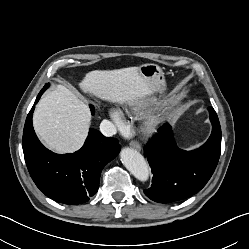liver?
I'll return each instance as SVG.
<instances>
[{
    "label": "liver",
    "instance_id": "6515ba94",
    "mask_svg": "<svg viewBox=\"0 0 249 249\" xmlns=\"http://www.w3.org/2000/svg\"><path fill=\"white\" fill-rule=\"evenodd\" d=\"M86 93L119 104H136L154 90L136 67L91 71L79 83ZM88 107L68 88L57 85L38 103L33 115L37 135L58 153H73L83 145L90 126Z\"/></svg>",
    "mask_w": 249,
    "mask_h": 249
}]
</instances>
